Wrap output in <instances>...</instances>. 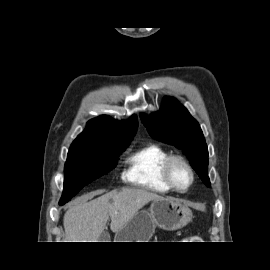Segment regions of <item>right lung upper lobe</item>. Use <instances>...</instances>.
<instances>
[{
    "label": "right lung upper lobe",
    "mask_w": 270,
    "mask_h": 270,
    "mask_svg": "<svg viewBox=\"0 0 270 270\" xmlns=\"http://www.w3.org/2000/svg\"><path fill=\"white\" fill-rule=\"evenodd\" d=\"M137 117L129 121H117L102 115L90 120L85 130L73 141L72 145L102 146L130 142L137 131Z\"/></svg>",
    "instance_id": "cb5924a9"
}]
</instances>
